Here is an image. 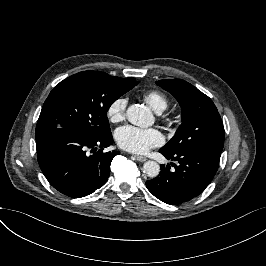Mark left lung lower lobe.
Wrapping results in <instances>:
<instances>
[{"label": "left lung lower lobe", "instance_id": "0a47b994", "mask_svg": "<svg viewBox=\"0 0 266 266\" xmlns=\"http://www.w3.org/2000/svg\"><path fill=\"white\" fill-rule=\"evenodd\" d=\"M159 152L179 164H174L172 171L169 164L167 167L161 165L160 174L146 181V187L170 205L190 201L201 194L216 174L221 155V152L205 147H191L175 153L161 148Z\"/></svg>", "mask_w": 266, "mask_h": 266}]
</instances>
